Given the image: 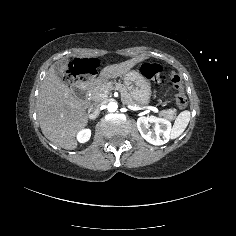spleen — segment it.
<instances>
[{"instance_id": "1", "label": "spleen", "mask_w": 236, "mask_h": 236, "mask_svg": "<svg viewBox=\"0 0 236 236\" xmlns=\"http://www.w3.org/2000/svg\"><path fill=\"white\" fill-rule=\"evenodd\" d=\"M190 116L191 115L189 111H183L179 114L171 130L172 138H177L179 135L182 134V132L185 130L189 123Z\"/></svg>"}]
</instances>
